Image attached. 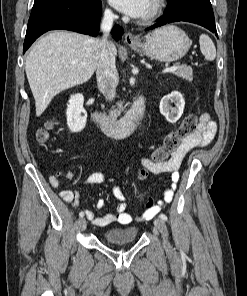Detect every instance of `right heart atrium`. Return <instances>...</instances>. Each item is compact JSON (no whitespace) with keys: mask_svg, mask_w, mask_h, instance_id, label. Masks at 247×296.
Listing matches in <instances>:
<instances>
[{"mask_svg":"<svg viewBox=\"0 0 247 296\" xmlns=\"http://www.w3.org/2000/svg\"><path fill=\"white\" fill-rule=\"evenodd\" d=\"M104 14L109 18H113L115 16L114 12L109 7L105 8Z\"/></svg>","mask_w":247,"mask_h":296,"instance_id":"d8ad5b80","label":"right heart atrium"}]
</instances>
